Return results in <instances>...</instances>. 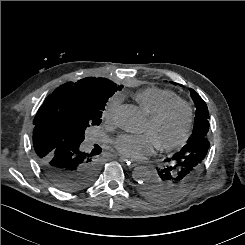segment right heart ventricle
<instances>
[{
  "instance_id": "e07e8e85",
  "label": "right heart ventricle",
  "mask_w": 245,
  "mask_h": 245,
  "mask_svg": "<svg viewBox=\"0 0 245 245\" xmlns=\"http://www.w3.org/2000/svg\"><path fill=\"white\" fill-rule=\"evenodd\" d=\"M179 99L178 95L171 90L157 87H149L135 95V100L143 110L151 115L166 103Z\"/></svg>"
}]
</instances>
